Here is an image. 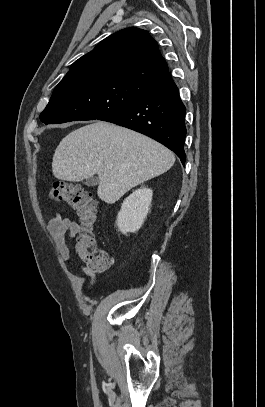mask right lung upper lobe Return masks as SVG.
<instances>
[{"label": "right lung upper lobe", "instance_id": "obj_1", "mask_svg": "<svg viewBox=\"0 0 265 407\" xmlns=\"http://www.w3.org/2000/svg\"><path fill=\"white\" fill-rule=\"evenodd\" d=\"M86 74L129 79L152 87L171 77L157 42L138 28L120 30L101 41L75 61L62 80Z\"/></svg>", "mask_w": 265, "mask_h": 407}]
</instances>
